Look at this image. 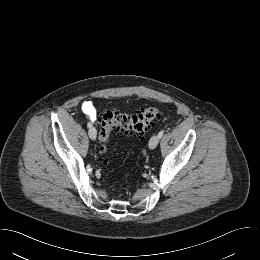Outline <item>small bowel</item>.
I'll list each match as a JSON object with an SVG mask.
<instances>
[{
    "label": "small bowel",
    "mask_w": 260,
    "mask_h": 260,
    "mask_svg": "<svg viewBox=\"0 0 260 260\" xmlns=\"http://www.w3.org/2000/svg\"><path fill=\"white\" fill-rule=\"evenodd\" d=\"M81 109L90 120L95 121L97 119V110L90 99L83 101Z\"/></svg>",
    "instance_id": "c3829d8e"
}]
</instances>
